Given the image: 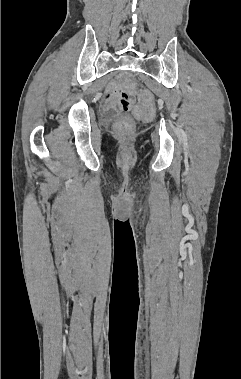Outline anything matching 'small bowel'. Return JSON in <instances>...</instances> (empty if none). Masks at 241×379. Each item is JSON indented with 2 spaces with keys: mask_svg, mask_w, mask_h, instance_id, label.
<instances>
[{
  "mask_svg": "<svg viewBox=\"0 0 241 379\" xmlns=\"http://www.w3.org/2000/svg\"><path fill=\"white\" fill-rule=\"evenodd\" d=\"M116 86L115 85H110L108 89L106 90L105 98H104V105L106 108H110L113 106L114 101L113 99L115 98L116 95Z\"/></svg>",
  "mask_w": 241,
  "mask_h": 379,
  "instance_id": "obj_1",
  "label": "small bowel"
}]
</instances>
